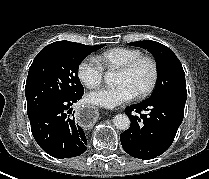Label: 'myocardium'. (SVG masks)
Here are the masks:
<instances>
[{"mask_svg":"<svg viewBox=\"0 0 209 179\" xmlns=\"http://www.w3.org/2000/svg\"><path fill=\"white\" fill-rule=\"evenodd\" d=\"M142 62H148L150 64L152 69V76L146 88L136 94L137 98H144L152 93V91L155 89L159 77V68L156 60L151 56L141 55L118 69V72L128 74L131 73Z\"/></svg>","mask_w":209,"mask_h":179,"instance_id":"f54148a6","label":"myocardium"}]
</instances>
